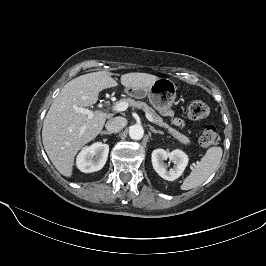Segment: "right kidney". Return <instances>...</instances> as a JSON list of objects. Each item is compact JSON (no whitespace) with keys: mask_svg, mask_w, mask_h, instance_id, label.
I'll return each mask as SVG.
<instances>
[{"mask_svg":"<svg viewBox=\"0 0 266 266\" xmlns=\"http://www.w3.org/2000/svg\"><path fill=\"white\" fill-rule=\"evenodd\" d=\"M109 153V145L101 142L84 147L78 154L76 165L81 172L99 171L105 165Z\"/></svg>","mask_w":266,"mask_h":266,"instance_id":"obj_1","label":"right kidney"}]
</instances>
